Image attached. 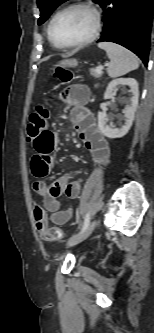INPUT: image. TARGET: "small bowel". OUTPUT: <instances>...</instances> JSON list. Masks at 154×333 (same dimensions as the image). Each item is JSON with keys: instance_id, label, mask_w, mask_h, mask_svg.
I'll return each mask as SVG.
<instances>
[{"instance_id": "1", "label": "small bowel", "mask_w": 154, "mask_h": 333, "mask_svg": "<svg viewBox=\"0 0 154 333\" xmlns=\"http://www.w3.org/2000/svg\"><path fill=\"white\" fill-rule=\"evenodd\" d=\"M63 99L73 108L71 121L92 159L98 164H106L110 156L107 139L99 130L93 113L85 107L90 98L89 88L84 84H72L63 92ZM58 136L50 129H44L34 139L35 153L31 159V170L34 177L41 179L47 176L54 166L53 153L57 149ZM34 192L43 199L44 209L49 212V221L56 225H63L73 215L71 207L62 208L59 200L65 195L70 200H75L81 192L79 180L68 181L60 178L51 184L37 180L33 184Z\"/></svg>"}]
</instances>
